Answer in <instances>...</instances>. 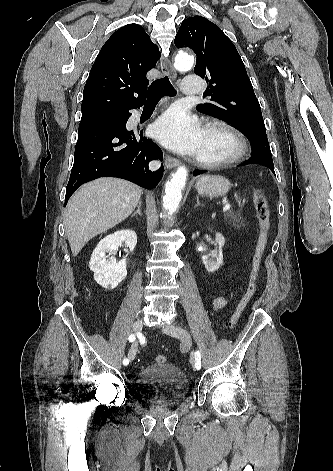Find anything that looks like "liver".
<instances>
[{"label": "liver", "mask_w": 333, "mask_h": 471, "mask_svg": "<svg viewBox=\"0 0 333 471\" xmlns=\"http://www.w3.org/2000/svg\"><path fill=\"white\" fill-rule=\"evenodd\" d=\"M142 190L118 178H99L81 186L68 202L65 231L73 256L93 237L124 221L136 208Z\"/></svg>", "instance_id": "obj_1"}]
</instances>
